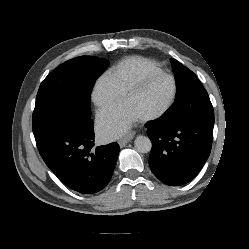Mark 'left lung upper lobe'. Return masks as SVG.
Returning <instances> with one entry per match:
<instances>
[{"instance_id":"5c2ea615","label":"left lung upper lobe","mask_w":249,"mask_h":249,"mask_svg":"<svg viewBox=\"0 0 249 249\" xmlns=\"http://www.w3.org/2000/svg\"><path fill=\"white\" fill-rule=\"evenodd\" d=\"M177 93L173 105L160 118L167 123L214 116L209 96L196 75L175 59H170Z\"/></svg>"}]
</instances>
